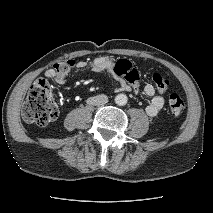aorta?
Masks as SVG:
<instances>
[{
  "label": "aorta",
  "mask_w": 213,
  "mask_h": 213,
  "mask_svg": "<svg viewBox=\"0 0 213 213\" xmlns=\"http://www.w3.org/2000/svg\"><path fill=\"white\" fill-rule=\"evenodd\" d=\"M127 101H128V98L125 94H118L116 97H115V103L119 106H123V105H126L127 104Z\"/></svg>",
  "instance_id": "762f6f07"
}]
</instances>
